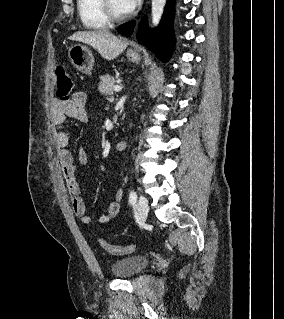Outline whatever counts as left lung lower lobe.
<instances>
[{
	"mask_svg": "<svg viewBox=\"0 0 284 319\" xmlns=\"http://www.w3.org/2000/svg\"><path fill=\"white\" fill-rule=\"evenodd\" d=\"M173 4L174 0H169L161 24L157 29L149 31L146 18L142 19L138 26V41L158 55L164 62L169 59L174 45L171 28V17L174 10ZM134 26L135 21H130L121 25L117 30L119 33L128 36L132 33Z\"/></svg>",
	"mask_w": 284,
	"mask_h": 319,
	"instance_id": "left-lung-lower-lobe-1",
	"label": "left lung lower lobe"
}]
</instances>
